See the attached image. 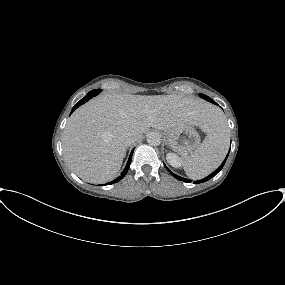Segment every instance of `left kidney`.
Segmentation results:
<instances>
[{
  "label": "left kidney",
  "mask_w": 285,
  "mask_h": 285,
  "mask_svg": "<svg viewBox=\"0 0 285 285\" xmlns=\"http://www.w3.org/2000/svg\"><path fill=\"white\" fill-rule=\"evenodd\" d=\"M167 162L174 168L181 167V160L180 158L174 153H168L166 155Z\"/></svg>",
  "instance_id": "obj_1"
}]
</instances>
